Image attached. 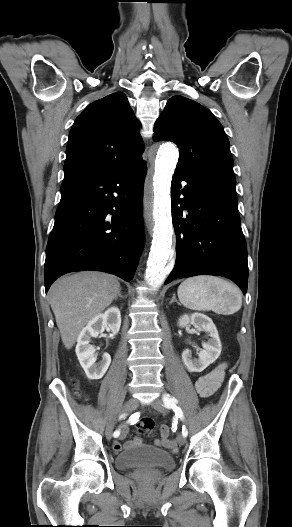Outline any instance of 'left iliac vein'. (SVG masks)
Here are the masks:
<instances>
[{
    "mask_svg": "<svg viewBox=\"0 0 292 527\" xmlns=\"http://www.w3.org/2000/svg\"><path fill=\"white\" fill-rule=\"evenodd\" d=\"M151 406L157 410L158 412L162 413V414H166L168 412L167 408L165 407V405L163 404V402L160 400V399H155L152 403H151ZM177 441L180 445H184L185 442H186V438L183 436V435H179L177 437Z\"/></svg>",
    "mask_w": 292,
    "mask_h": 527,
    "instance_id": "4c4485c4",
    "label": "left iliac vein"
}]
</instances>
